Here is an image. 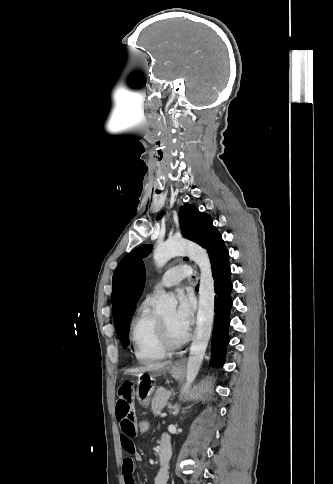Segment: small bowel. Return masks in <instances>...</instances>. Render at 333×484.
I'll list each match as a JSON object with an SVG mask.
<instances>
[{"label":"small bowel","instance_id":"small-bowel-1","mask_svg":"<svg viewBox=\"0 0 333 484\" xmlns=\"http://www.w3.org/2000/svg\"><path fill=\"white\" fill-rule=\"evenodd\" d=\"M135 387L132 382H123L117 394L115 405L116 418L121 429V444L126 456L122 461V472L125 484H135L134 469L135 462L142 460L141 455L136 452L134 438L137 432V415L135 410ZM162 439H168L164 436ZM168 481L167 468H161L155 476L154 484H166Z\"/></svg>","mask_w":333,"mask_h":484}]
</instances>
